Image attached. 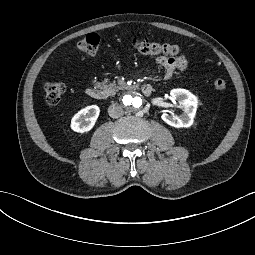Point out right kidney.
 <instances>
[{
  "label": "right kidney",
  "mask_w": 255,
  "mask_h": 255,
  "mask_svg": "<svg viewBox=\"0 0 255 255\" xmlns=\"http://www.w3.org/2000/svg\"><path fill=\"white\" fill-rule=\"evenodd\" d=\"M100 109L97 105L87 106L80 110L71 120V128L76 132H87L92 129L98 116Z\"/></svg>",
  "instance_id": "ca27d5eb"
}]
</instances>
